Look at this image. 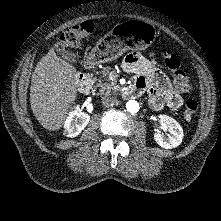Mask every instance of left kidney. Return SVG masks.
<instances>
[{
	"label": "left kidney",
	"mask_w": 221,
	"mask_h": 221,
	"mask_svg": "<svg viewBox=\"0 0 221 221\" xmlns=\"http://www.w3.org/2000/svg\"><path fill=\"white\" fill-rule=\"evenodd\" d=\"M160 123L167 126L169 134L164 135L161 132H156L154 134L155 142L165 149H172L179 146L183 139V129L180 124L167 115H159L157 117Z\"/></svg>",
	"instance_id": "left-kidney-1"
}]
</instances>
